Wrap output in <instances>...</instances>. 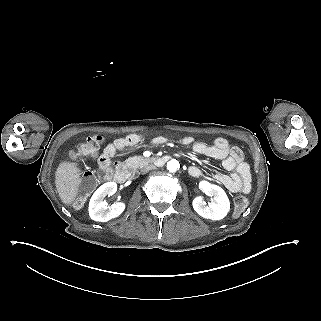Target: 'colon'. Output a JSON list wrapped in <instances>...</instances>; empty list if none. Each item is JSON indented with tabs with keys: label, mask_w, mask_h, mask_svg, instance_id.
Wrapping results in <instances>:
<instances>
[{
	"label": "colon",
	"mask_w": 321,
	"mask_h": 321,
	"mask_svg": "<svg viewBox=\"0 0 321 321\" xmlns=\"http://www.w3.org/2000/svg\"><path fill=\"white\" fill-rule=\"evenodd\" d=\"M103 141V138L100 135H93L88 137L83 143L77 146L76 149L73 150L72 156L74 158H79L82 156H93L95 155L100 145ZM95 186V178L89 173L85 174L80 188V197H85ZM248 205V201L243 196H237L234 199V215H241Z\"/></svg>",
	"instance_id": "5ec220e1"
}]
</instances>
